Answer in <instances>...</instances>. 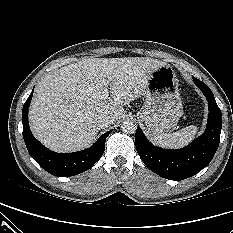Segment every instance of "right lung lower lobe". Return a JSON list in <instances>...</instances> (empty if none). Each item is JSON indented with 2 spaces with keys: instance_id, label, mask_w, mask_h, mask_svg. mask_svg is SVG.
<instances>
[{
  "instance_id": "1",
  "label": "right lung lower lobe",
  "mask_w": 233,
  "mask_h": 233,
  "mask_svg": "<svg viewBox=\"0 0 233 233\" xmlns=\"http://www.w3.org/2000/svg\"><path fill=\"white\" fill-rule=\"evenodd\" d=\"M33 91L24 103L22 110L23 138L31 157L47 172L58 177L74 176L91 167L101 158L105 140L111 131L106 132L90 148L74 153H56L48 150L32 135L28 123V108Z\"/></svg>"
}]
</instances>
